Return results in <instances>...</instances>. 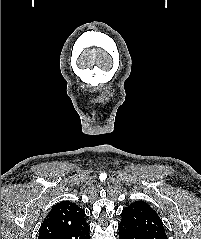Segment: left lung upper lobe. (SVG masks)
Masks as SVG:
<instances>
[{
	"label": "left lung upper lobe",
	"mask_w": 201,
	"mask_h": 239,
	"mask_svg": "<svg viewBox=\"0 0 201 239\" xmlns=\"http://www.w3.org/2000/svg\"><path fill=\"white\" fill-rule=\"evenodd\" d=\"M121 224L126 225L146 239H167L158 214L144 201H136L124 208Z\"/></svg>",
	"instance_id": "5c2ea615"
}]
</instances>
